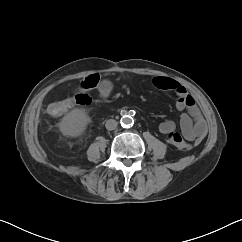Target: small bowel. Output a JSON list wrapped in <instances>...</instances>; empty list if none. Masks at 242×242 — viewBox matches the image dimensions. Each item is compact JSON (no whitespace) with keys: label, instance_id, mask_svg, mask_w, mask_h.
<instances>
[{"label":"small bowel","instance_id":"c3829d8e","mask_svg":"<svg viewBox=\"0 0 242 242\" xmlns=\"http://www.w3.org/2000/svg\"><path fill=\"white\" fill-rule=\"evenodd\" d=\"M91 78L98 79L97 86L99 88L111 89L109 81L103 80L99 82L96 75H89L81 81V87ZM155 88L165 91H172L176 94V107L182 111L180 117L181 134L176 132V125L171 120H166L159 125V132L165 135L167 142L175 145L179 149L188 150L192 143L200 142L207 133V125L204 117L196 104L194 98L188 93L186 88L174 79L167 77H156L152 81ZM74 107V102L71 99L68 104L67 111Z\"/></svg>","mask_w":242,"mask_h":242}]
</instances>
